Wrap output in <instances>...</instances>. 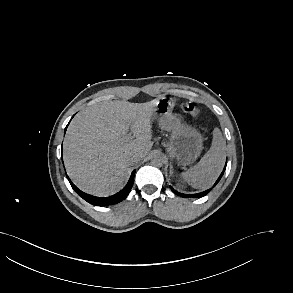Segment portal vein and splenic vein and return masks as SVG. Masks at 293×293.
Returning <instances> with one entry per match:
<instances>
[{"instance_id": "18ae733b", "label": "portal vein and splenic vein", "mask_w": 293, "mask_h": 293, "mask_svg": "<svg viewBox=\"0 0 293 293\" xmlns=\"http://www.w3.org/2000/svg\"><path fill=\"white\" fill-rule=\"evenodd\" d=\"M127 138H128V139L132 138L131 133H129V134L127 135Z\"/></svg>"}]
</instances>
